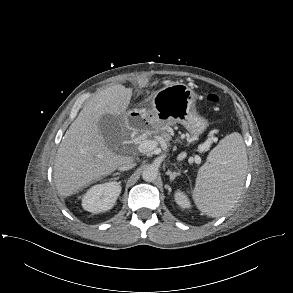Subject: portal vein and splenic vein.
<instances>
[{
  "instance_id": "obj_1",
  "label": "portal vein and splenic vein",
  "mask_w": 293,
  "mask_h": 293,
  "mask_svg": "<svg viewBox=\"0 0 293 293\" xmlns=\"http://www.w3.org/2000/svg\"><path fill=\"white\" fill-rule=\"evenodd\" d=\"M157 147V142L154 140H143L138 145V150L142 153L153 151ZM194 161L197 164L201 163V158L199 156H195Z\"/></svg>"
}]
</instances>
